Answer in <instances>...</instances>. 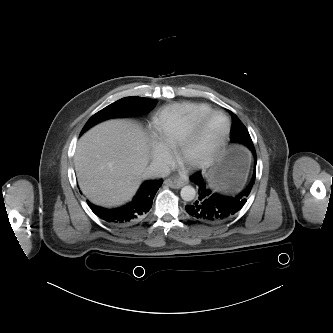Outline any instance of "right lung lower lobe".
Segmentation results:
<instances>
[{"label":"right lung lower lobe","mask_w":333,"mask_h":333,"mask_svg":"<svg viewBox=\"0 0 333 333\" xmlns=\"http://www.w3.org/2000/svg\"><path fill=\"white\" fill-rule=\"evenodd\" d=\"M162 183V179L145 181L133 200L119 208L107 209L95 206L89 201L87 203L92 211L106 222L118 226L131 225L142 219L151 209L154 196Z\"/></svg>","instance_id":"1"}]
</instances>
